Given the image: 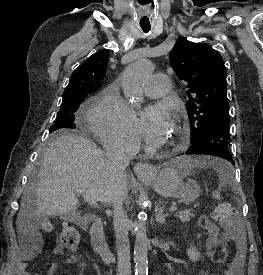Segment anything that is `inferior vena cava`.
<instances>
[{"label":"inferior vena cava","instance_id":"obj_1","mask_svg":"<svg viewBox=\"0 0 263 275\" xmlns=\"http://www.w3.org/2000/svg\"><path fill=\"white\" fill-rule=\"evenodd\" d=\"M134 154L135 151L124 142L115 143L107 148L106 157L113 176L124 187L127 180L126 168ZM123 199V195H117L113 199V225L118 255V275H131L128 218L123 209Z\"/></svg>","mask_w":263,"mask_h":275}]
</instances>
